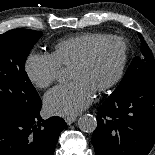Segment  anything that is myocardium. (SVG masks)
Returning a JSON list of instances; mask_svg holds the SVG:
<instances>
[{"mask_svg":"<svg viewBox=\"0 0 155 155\" xmlns=\"http://www.w3.org/2000/svg\"><path fill=\"white\" fill-rule=\"evenodd\" d=\"M110 41H117L121 44L122 46L121 62L114 77L106 84L97 88L96 92H104L106 90H109L114 86H116L122 79L127 65V61H128V45L126 40L123 37L118 35H106L105 37L99 39L94 44H92L89 47V49L84 53V55L71 66V68H79L87 65L93 58L97 49L104 43L110 42Z\"/></svg>","mask_w":155,"mask_h":155,"instance_id":"myocardium-1","label":"myocardium"}]
</instances>
